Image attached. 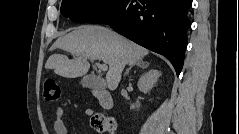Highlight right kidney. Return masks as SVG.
I'll use <instances>...</instances> for the list:
<instances>
[{"label":"right kidney","mask_w":239,"mask_h":134,"mask_svg":"<svg viewBox=\"0 0 239 134\" xmlns=\"http://www.w3.org/2000/svg\"><path fill=\"white\" fill-rule=\"evenodd\" d=\"M161 76V72L158 70H149L140 76L138 81V88L143 93H148L156 84L158 78Z\"/></svg>","instance_id":"ca27d5eb"}]
</instances>
